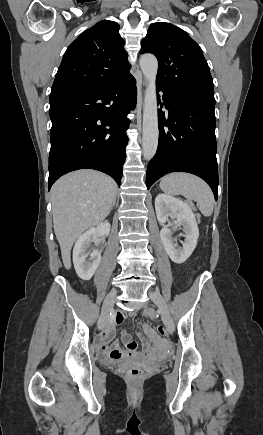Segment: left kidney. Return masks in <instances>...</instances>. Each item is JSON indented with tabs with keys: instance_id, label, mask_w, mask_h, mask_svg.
Listing matches in <instances>:
<instances>
[{
	"instance_id": "obj_1",
	"label": "left kidney",
	"mask_w": 263,
	"mask_h": 435,
	"mask_svg": "<svg viewBox=\"0 0 263 435\" xmlns=\"http://www.w3.org/2000/svg\"><path fill=\"white\" fill-rule=\"evenodd\" d=\"M155 210L160 223H166L169 217L176 218L177 226H183L185 240L179 247L172 238L171 230L166 226L161 229L160 237L166 253L177 264L185 262L197 245L199 229L191 207L184 201L168 194H158Z\"/></svg>"
}]
</instances>
